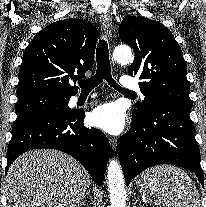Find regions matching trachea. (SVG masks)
<instances>
[{
	"instance_id": "3493384b",
	"label": "trachea",
	"mask_w": 206,
	"mask_h": 207,
	"mask_svg": "<svg viewBox=\"0 0 206 207\" xmlns=\"http://www.w3.org/2000/svg\"><path fill=\"white\" fill-rule=\"evenodd\" d=\"M96 62H97L96 74L87 80H81L78 82L82 91H91L105 79L111 87L115 88L119 92L127 93V94H135L132 91L120 87L112 78L108 43L104 39L100 40L97 46Z\"/></svg>"
}]
</instances>
